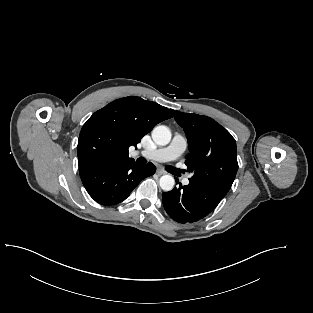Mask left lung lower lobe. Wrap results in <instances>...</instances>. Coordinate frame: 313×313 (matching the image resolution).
I'll return each instance as SVG.
<instances>
[{
  "label": "left lung lower lobe",
  "instance_id": "1",
  "mask_svg": "<svg viewBox=\"0 0 313 313\" xmlns=\"http://www.w3.org/2000/svg\"><path fill=\"white\" fill-rule=\"evenodd\" d=\"M178 183V181H177ZM226 194L209 186L189 184L162 194L168 215L179 223H192L211 213Z\"/></svg>",
  "mask_w": 313,
  "mask_h": 313
}]
</instances>
